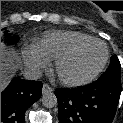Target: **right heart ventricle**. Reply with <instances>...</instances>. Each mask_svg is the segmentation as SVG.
<instances>
[{"instance_id": "right-heart-ventricle-1", "label": "right heart ventricle", "mask_w": 123, "mask_h": 123, "mask_svg": "<svg viewBox=\"0 0 123 123\" xmlns=\"http://www.w3.org/2000/svg\"><path fill=\"white\" fill-rule=\"evenodd\" d=\"M90 38L76 31H51L35 41L32 49L42 54L47 60H56L73 45Z\"/></svg>"}]
</instances>
